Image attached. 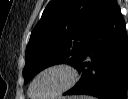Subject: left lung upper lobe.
Instances as JSON below:
<instances>
[{"instance_id": "left-lung-upper-lobe-1", "label": "left lung upper lobe", "mask_w": 128, "mask_h": 99, "mask_svg": "<svg viewBox=\"0 0 128 99\" xmlns=\"http://www.w3.org/2000/svg\"><path fill=\"white\" fill-rule=\"evenodd\" d=\"M108 0H51L31 33L23 70L25 84L55 64L73 67L87 48Z\"/></svg>"}]
</instances>
